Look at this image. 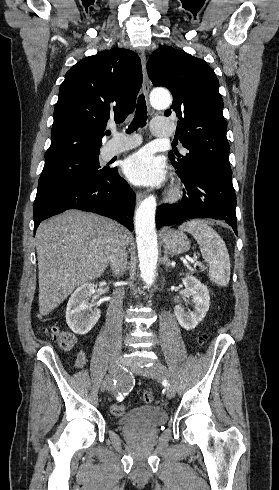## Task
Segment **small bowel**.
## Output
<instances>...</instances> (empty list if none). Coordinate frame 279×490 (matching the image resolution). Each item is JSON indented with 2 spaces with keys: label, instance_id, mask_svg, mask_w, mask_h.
I'll return each mask as SVG.
<instances>
[{
  "label": "small bowel",
  "instance_id": "c3829d8e",
  "mask_svg": "<svg viewBox=\"0 0 279 490\" xmlns=\"http://www.w3.org/2000/svg\"><path fill=\"white\" fill-rule=\"evenodd\" d=\"M75 366L77 368H83L86 364V354L84 351H80L73 357Z\"/></svg>",
  "mask_w": 279,
  "mask_h": 490
}]
</instances>
